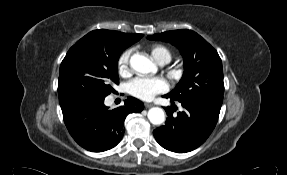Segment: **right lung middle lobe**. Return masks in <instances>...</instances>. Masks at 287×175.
<instances>
[{"instance_id":"1","label":"right lung middle lobe","mask_w":287,"mask_h":175,"mask_svg":"<svg viewBox=\"0 0 287 175\" xmlns=\"http://www.w3.org/2000/svg\"><path fill=\"white\" fill-rule=\"evenodd\" d=\"M128 45L85 35L63 59L58 80L60 106L74 101L104 99L119 83L118 59Z\"/></svg>"}]
</instances>
